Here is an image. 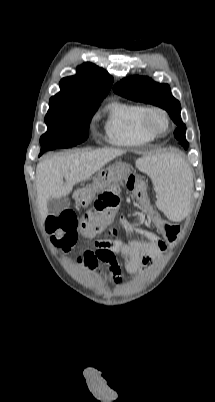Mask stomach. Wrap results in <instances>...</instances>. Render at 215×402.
I'll return each instance as SVG.
<instances>
[{"label": "stomach", "mask_w": 215, "mask_h": 402, "mask_svg": "<svg viewBox=\"0 0 215 402\" xmlns=\"http://www.w3.org/2000/svg\"><path fill=\"white\" fill-rule=\"evenodd\" d=\"M129 175V165L115 162L101 170L93 183L74 192L73 197L80 206H88L96 197V194L105 190L113 183H122Z\"/></svg>", "instance_id": "obj_1"}]
</instances>
